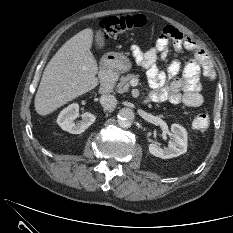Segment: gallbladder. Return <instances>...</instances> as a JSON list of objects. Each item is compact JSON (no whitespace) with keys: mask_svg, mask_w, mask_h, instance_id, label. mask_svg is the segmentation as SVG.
Instances as JSON below:
<instances>
[{"mask_svg":"<svg viewBox=\"0 0 233 233\" xmlns=\"http://www.w3.org/2000/svg\"><path fill=\"white\" fill-rule=\"evenodd\" d=\"M96 48L101 49L105 45L103 33L99 30L95 35Z\"/></svg>","mask_w":233,"mask_h":233,"instance_id":"1","label":"gallbladder"}]
</instances>
